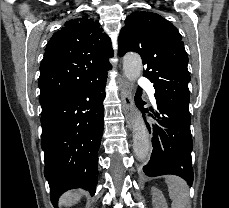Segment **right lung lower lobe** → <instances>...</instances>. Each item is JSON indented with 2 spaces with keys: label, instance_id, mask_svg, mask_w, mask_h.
Listing matches in <instances>:
<instances>
[{
  "label": "right lung lower lobe",
  "instance_id": "obj_1",
  "mask_svg": "<svg viewBox=\"0 0 229 208\" xmlns=\"http://www.w3.org/2000/svg\"><path fill=\"white\" fill-rule=\"evenodd\" d=\"M107 74L64 96L41 113L44 175L56 207L62 193L97 185V152L103 134Z\"/></svg>",
  "mask_w": 229,
  "mask_h": 208
}]
</instances>
